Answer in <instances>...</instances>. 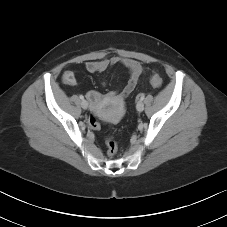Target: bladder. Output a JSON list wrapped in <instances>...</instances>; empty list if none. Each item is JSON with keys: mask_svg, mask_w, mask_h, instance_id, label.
Listing matches in <instances>:
<instances>
[{"mask_svg": "<svg viewBox=\"0 0 227 227\" xmlns=\"http://www.w3.org/2000/svg\"><path fill=\"white\" fill-rule=\"evenodd\" d=\"M98 115L102 116L104 119H106L107 121H114L117 119V114H101V113H98Z\"/></svg>", "mask_w": 227, "mask_h": 227, "instance_id": "obj_1", "label": "bladder"}]
</instances>
